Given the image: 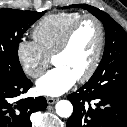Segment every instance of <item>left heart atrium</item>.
Returning a JSON list of instances; mask_svg holds the SVG:
<instances>
[{
    "label": "left heart atrium",
    "instance_id": "39dd6f15",
    "mask_svg": "<svg viewBox=\"0 0 127 127\" xmlns=\"http://www.w3.org/2000/svg\"><path fill=\"white\" fill-rule=\"evenodd\" d=\"M76 80L67 69L56 66L37 81L36 89L42 95L59 96L68 91Z\"/></svg>",
    "mask_w": 127,
    "mask_h": 127
}]
</instances>
